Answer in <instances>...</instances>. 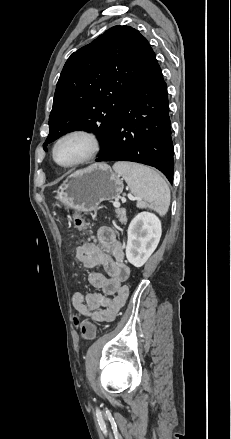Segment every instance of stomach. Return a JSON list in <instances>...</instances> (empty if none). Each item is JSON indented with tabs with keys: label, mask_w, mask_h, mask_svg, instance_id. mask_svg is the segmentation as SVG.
<instances>
[{
	"label": "stomach",
	"mask_w": 231,
	"mask_h": 439,
	"mask_svg": "<svg viewBox=\"0 0 231 439\" xmlns=\"http://www.w3.org/2000/svg\"><path fill=\"white\" fill-rule=\"evenodd\" d=\"M123 188V181L117 173L105 163H96L75 171L59 185L54 191V207L91 212L102 201L118 199Z\"/></svg>",
	"instance_id": "stomach-1"
}]
</instances>
